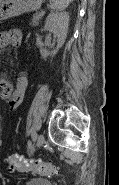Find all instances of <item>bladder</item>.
Instances as JSON below:
<instances>
[{
	"label": "bladder",
	"instance_id": "31cf9c89",
	"mask_svg": "<svg viewBox=\"0 0 119 185\" xmlns=\"http://www.w3.org/2000/svg\"><path fill=\"white\" fill-rule=\"evenodd\" d=\"M26 185H53L52 182L48 179L35 178L29 180Z\"/></svg>",
	"mask_w": 119,
	"mask_h": 185
}]
</instances>
